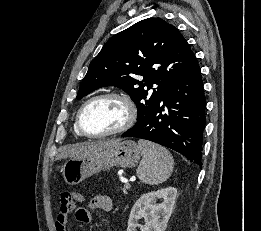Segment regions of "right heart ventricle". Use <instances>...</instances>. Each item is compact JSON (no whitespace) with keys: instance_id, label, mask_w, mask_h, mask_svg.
<instances>
[{"instance_id":"right-heart-ventricle-1","label":"right heart ventricle","mask_w":261,"mask_h":231,"mask_svg":"<svg viewBox=\"0 0 261 231\" xmlns=\"http://www.w3.org/2000/svg\"><path fill=\"white\" fill-rule=\"evenodd\" d=\"M73 131H74V134H75L77 137H82V135L78 132L75 123H74V126H73Z\"/></svg>"}]
</instances>
